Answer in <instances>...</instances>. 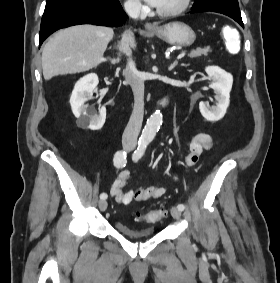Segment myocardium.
<instances>
[{"label": "myocardium", "instance_id": "obj_1", "mask_svg": "<svg viewBox=\"0 0 280 283\" xmlns=\"http://www.w3.org/2000/svg\"><path fill=\"white\" fill-rule=\"evenodd\" d=\"M192 0H181V2L174 8L172 9H168V10H161V9H156V12L159 16L162 17H172V16H176L179 15L181 13H183L184 11H186L190 4H191Z\"/></svg>", "mask_w": 280, "mask_h": 283}]
</instances>
